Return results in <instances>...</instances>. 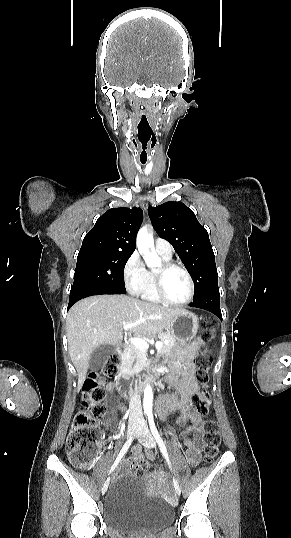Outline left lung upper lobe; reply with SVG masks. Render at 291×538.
<instances>
[{
  "label": "left lung upper lobe",
  "instance_id": "obj_1",
  "mask_svg": "<svg viewBox=\"0 0 291 538\" xmlns=\"http://www.w3.org/2000/svg\"><path fill=\"white\" fill-rule=\"evenodd\" d=\"M149 217L159 237L172 244L194 280V298L218 290V273L208 232L182 202L149 206Z\"/></svg>",
  "mask_w": 291,
  "mask_h": 538
}]
</instances>
